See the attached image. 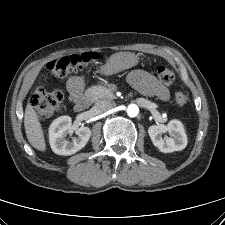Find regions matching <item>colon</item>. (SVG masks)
Listing matches in <instances>:
<instances>
[{"mask_svg":"<svg viewBox=\"0 0 225 225\" xmlns=\"http://www.w3.org/2000/svg\"><path fill=\"white\" fill-rule=\"evenodd\" d=\"M96 59V53L84 52L80 54H72L60 59L52 60L48 63L47 68L54 76L62 77L68 73L83 71ZM157 73L160 80L165 84H171L174 81L173 72L164 66L158 67ZM173 97L175 102L181 106L185 105L188 101L186 92L180 88L173 91ZM63 98L64 92L62 90L56 89L48 91L44 87L39 86L33 92L31 105L35 109L37 116L44 120L54 114Z\"/></svg>","mask_w":225,"mask_h":225,"instance_id":"colon-1","label":"colon"}]
</instances>
